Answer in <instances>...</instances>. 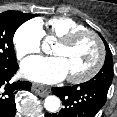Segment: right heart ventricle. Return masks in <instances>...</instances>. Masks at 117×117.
Returning <instances> with one entry per match:
<instances>
[{
	"instance_id": "1",
	"label": "right heart ventricle",
	"mask_w": 117,
	"mask_h": 117,
	"mask_svg": "<svg viewBox=\"0 0 117 117\" xmlns=\"http://www.w3.org/2000/svg\"><path fill=\"white\" fill-rule=\"evenodd\" d=\"M43 36L59 39L71 32L85 29L77 21L68 17H54L44 23Z\"/></svg>"
}]
</instances>
